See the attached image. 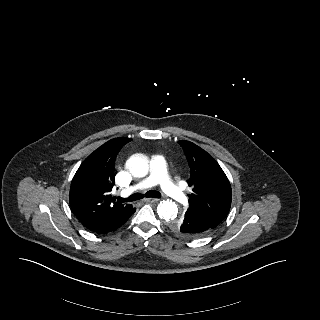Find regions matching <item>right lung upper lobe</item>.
I'll return each mask as SVG.
<instances>
[{
	"mask_svg": "<svg viewBox=\"0 0 320 320\" xmlns=\"http://www.w3.org/2000/svg\"><path fill=\"white\" fill-rule=\"evenodd\" d=\"M131 138L120 137L104 143L90 154L74 175L69 194L71 209L89 230L127 215L133 208L111 196L115 185L114 161Z\"/></svg>",
	"mask_w": 320,
	"mask_h": 320,
	"instance_id": "cb5924a9",
	"label": "right lung upper lobe"
}]
</instances>
